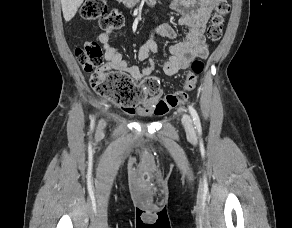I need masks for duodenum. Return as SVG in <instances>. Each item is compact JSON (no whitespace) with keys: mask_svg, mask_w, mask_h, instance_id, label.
Returning <instances> with one entry per match:
<instances>
[{"mask_svg":"<svg viewBox=\"0 0 292 228\" xmlns=\"http://www.w3.org/2000/svg\"><path fill=\"white\" fill-rule=\"evenodd\" d=\"M122 1H124L128 5L132 6V5L136 4L138 0H122ZM143 1H149V0H143Z\"/></svg>","mask_w":292,"mask_h":228,"instance_id":"410a0bca","label":"duodenum"}]
</instances>
